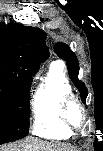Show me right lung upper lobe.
I'll return each mask as SVG.
<instances>
[{
    "mask_svg": "<svg viewBox=\"0 0 103 151\" xmlns=\"http://www.w3.org/2000/svg\"><path fill=\"white\" fill-rule=\"evenodd\" d=\"M44 31L0 23V75L14 82L32 81L39 64L49 57Z\"/></svg>",
    "mask_w": 103,
    "mask_h": 151,
    "instance_id": "cb5924a9",
    "label": "right lung upper lobe"
}]
</instances>
